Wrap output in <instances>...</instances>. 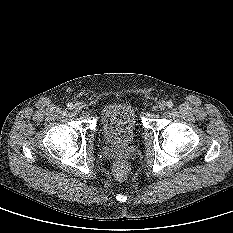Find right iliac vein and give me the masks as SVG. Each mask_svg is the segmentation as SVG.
I'll list each match as a JSON object with an SVG mask.
<instances>
[{
	"label": "right iliac vein",
	"instance_id": "1",
	"mask_svg": "<svg viewBox=\"0 0 233 233\" xmlns=\"http://www.w3.org/2000/svg\"><path fill=\"white\" fill-rule=\"evenodd\" d=\"M73 110H74L75 113H79V112H81L82 107H81V105L76 104V105L73 107Z\"/></svg>",
	"mask_w": 233,
	"mask_h": 233
}]
</instances>
